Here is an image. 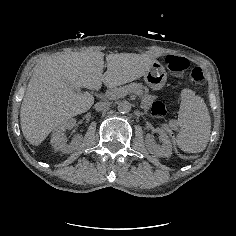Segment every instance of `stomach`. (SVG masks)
<instances>
[{
	"mask_svg": "<svg viewBox=\"0 0 236 236\" xmlns=\"http://www.w3.org/2000/svg\"><path fill=\"white\" fill-rule=\"evenodd\" d=\"M144 80L150 88L159 90L165 85L167 74L162 66L154 64V66L145 74Z\"/></svg>",
	"mask_w": 236,
	"mask_h": 236,
	"instance_id": "0dacf381",
	"label": "stomach"
}]
</instances>
